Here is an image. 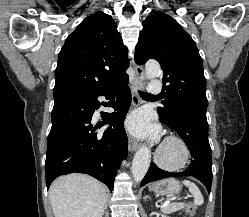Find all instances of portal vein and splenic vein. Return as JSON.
<instances>
[{
  "label": "portal vein and splenic vein",
  "instance_id": "portal-vein-and-splenic-vein-1",
  "mask_svg": "<svg viewBox=\"0 0 249 217\" xmlns=\"http://www.w3.org/2000/svg\"><path fill=\"white\" fill-rule=\"evenodd\" d=\"M170 204V200H167L166 202H164L161 206V208H165L166 206H168Z\"/></svg>",
  "mask_w": 249,
  "mask_h": 217
}]
</instances>
